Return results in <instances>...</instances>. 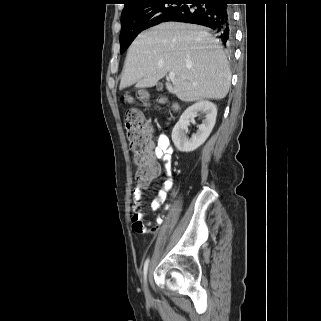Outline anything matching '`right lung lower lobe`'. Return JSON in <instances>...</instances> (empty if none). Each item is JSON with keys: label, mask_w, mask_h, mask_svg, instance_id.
Instances as JSON below:
<instances>
[{"label": "right lung lower lobe", "mask_w": 321, "mask_h": 321, "mask_svg": "<svg viewBox=\"0 0 321 321\" xmlns=\"http://www.w3.org/2000/svg\"><path fill=\"white\" fill-rule=\"evenodd\" d=\"M232 0H184L182 6L164 18L163 22L178 21L204 25L215 30L224 44L233 41Z\"/></svg>", "instance_id": "right-lung-lower-lobe-1"}]
</instances>
